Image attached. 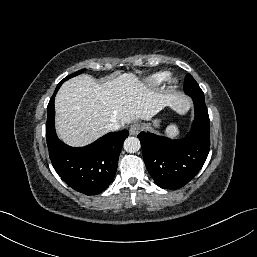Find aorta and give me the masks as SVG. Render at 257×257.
Here are the masks:
<instances>
[{"mask_svg":"<svg viewBox=\"0 0 257 257\" xmlns=\"http://www.w3.org/2000/svg\"><path fill=\"white\" fill-rule=\"evenodd\" d=\"M124 150L128 153H135L140 149V141L136 137H128L124 141Z\"/></svg>","mask_w":257,"mask_h":257,"instance_id":"1","label":"aorta"}]
</instances>
